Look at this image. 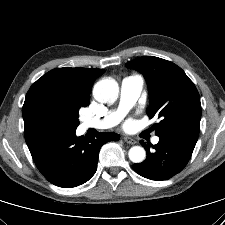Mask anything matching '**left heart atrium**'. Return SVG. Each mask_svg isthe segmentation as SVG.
<instances>
[{
    "mask_svg": "<svg viewBox=\"0 0 225 225\" xmlns=\"http://www.w3.org/2000/svg\"><path fill=\"white\" fill-rule=\"evenodd\" d=\"M130 124V122H127V125H129Z\"/></svg>",
    "mask_w": 225,
    "mask_h": 225,
    "instance_id": "39dd6f15",
    "label": "left heart atrium"
}]
</instances>
